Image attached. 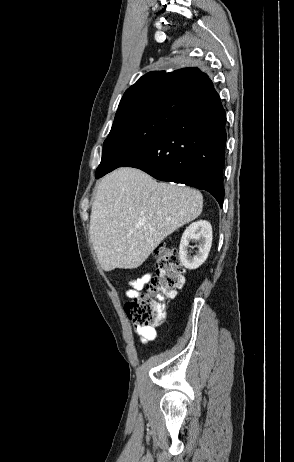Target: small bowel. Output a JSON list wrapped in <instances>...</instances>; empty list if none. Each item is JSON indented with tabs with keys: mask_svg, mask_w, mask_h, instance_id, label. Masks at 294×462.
<instances>
[{
	"mask_svg": "<svg viewBox=\"0 0 294 462\" xmlns=\"http://www.w3.org/2000/svg\"><path fill=\"white\" fill-rule=\"evenodd\" d=\"M150 279L151 274L147 273L137 279L129 281L128 288L125 291V296L128 299L137 297L145 285L149 283ZM134 331L139 336L140 342L143 344L153 341L157 337L156 328L153 326H142L135 324Z\"/></svg>",
	"mask_w": 294,
	"mask_h": 462,
	"instance_id": "1",
	"label": "small bowel"
}]
</instances>
